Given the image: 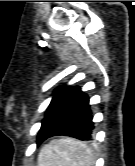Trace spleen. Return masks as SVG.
<instances>
[{
	"label": "spleen",
	"mask_w": 135,
	"mask_h": 166,
	"mask_svg": "<svg viewBox=\"0 0 135 166\" xmlns=\"http://www.w3.org/2000/svg\"><path fill=\"white\" fill-rule=\"evenodd\" d=\"M90 147L84 142L61 138L45 145L38 155V166H94Z\"/></svg>",
	"instance_id": "1"
}]
</instances>
